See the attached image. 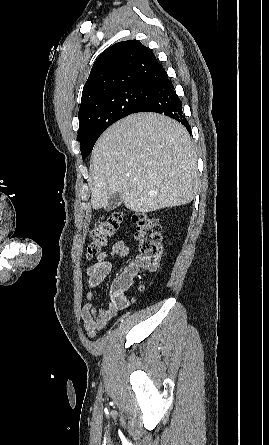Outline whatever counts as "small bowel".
<instances>
[{
  "label": "small bowel",
  "mask_w": 269,
  "mask_h": 445,
  "mask_svg": "<svg viewBox=\"0 0 269 445\" xmlns=\"http://www.w3.org/2000/svg\"><path fill=\"white\" fill-rule=\"evenodd\" d=\"M128 254L129 247L123 241H118L112 246L110 253H99L96 262L86 269L88 278L86 286L87 303L82 309L81 316L84 321V330L90 338H94L98 331L104 329L108 322L114 319L118 313L130 303L125 293L121 295L122 301H118L112 288L110 300L106 308L98 307L95 296V289L98 288L111 273L112 263L108 259L109 256L123 258L128 256Z\"/></svg>",
  "instance_id": "obj_1"
}]
</instances>
